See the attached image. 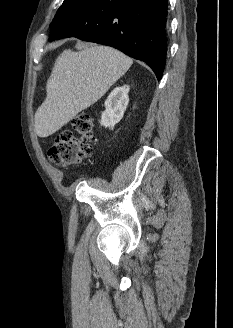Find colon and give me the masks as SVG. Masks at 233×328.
Wrapping results in <instances>:
<instances>
[{"label":"colon","mask_w":233,"mask_h":328,"mask_svg":"<svg viewBox=\"0 0 233 328\" xmlns=\"http://www.w3.org/2000/svg\"><path fill=\"white\" fill-rule=\"evenodd\" d=\"M73 130L58 133L47 151V158L55 166L67 167L90 156L95 148L93 120L87 113L77 115L71 122Z\"/></svg>","instance_id":"obj_1"}]
</instances>
